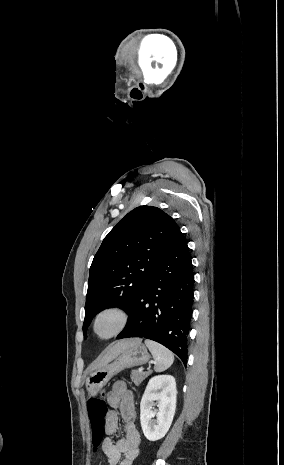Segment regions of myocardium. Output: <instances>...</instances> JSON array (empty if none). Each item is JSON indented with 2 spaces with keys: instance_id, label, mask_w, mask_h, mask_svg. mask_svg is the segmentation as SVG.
Instances as JSON below:
<instances>
[{
  "instance_id": "myocardium-1",
  "label": "myocardium",
  "mask_w": 284,
  "mask_h": 465,
  "mask_svg": "<svg viewBox=\"0 0 284 465\" xmlns=\"http://www.w3.org/2000/svg\"><path fill=\"white\" fill-rule=\"evenodd\" d=\"M107 316L112 317L115 320V326L109 333L101 334L98 331V327L100 321ZM128 322L129 316L124 309L117 306L106 307L94 316L91 331L96 339L100 341H108L120 335L126 328Z\"/></svg>"
}]
</instances>
